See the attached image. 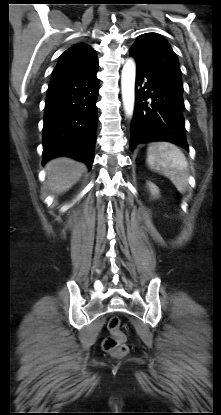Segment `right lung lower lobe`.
I'll return each mask as SVG.
<instances>
[{"label": "right lung lower lobe", "mask_w": 221, "mask_h": 415, "mask_svg": "<svg viewBox=\"0 0 221 415\" xmlns=\"http://www.w3.org/2000/svg\"><path fill=\"white\" fill-rule=\"evenodd\" d=\"M97 70L51 77L45 100L43 163L67 156L91 168L97 128Z\"/></svg>", "instance_id": "1"}]
</instances>
